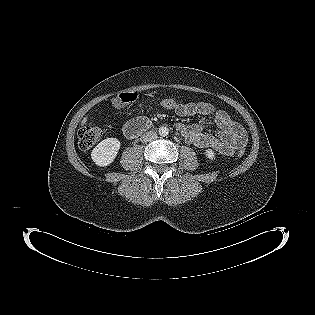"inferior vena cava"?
Listing matches in <instances>:
<instances>
[{"label": "inferior vena cava", "instance_id": "inferior-vena-cava-1", "mask_svg": "<svg viewBox=\"0 0 315 315\" xmlns=\"http://www.w3.org/2000/svg\"><path fill=\"white\" fill-rule=\"evenodd\" d=\"M157 138V133L155 131H148L141 136V141L143 143H148Z\"/></svg>", "mask_w": 315, "mask_h": 315}]
</instances>
